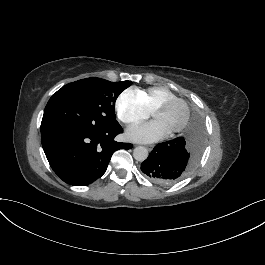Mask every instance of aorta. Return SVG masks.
<instances>
[{
    "mask_svg": "<svg viewBox=\"0 0 265 265\" xmlns=\"http://www.w3.org/2000/svg\"><path fill=\"white\" fill-rule=\"evenodd\" d=\"M133 156L137 161H144L148 158V150L144 146H138L133 151Z\"/></svg>",
    "mask_w": 265,
    "mask_h": 265,
    "instance_id": "aorta-1",
    "label": "aorta"
}]
</instances>
